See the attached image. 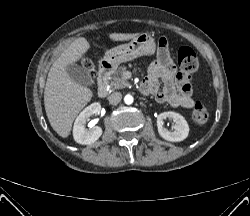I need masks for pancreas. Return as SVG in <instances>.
I'll list each match as a JSON object with an SVG mask.
<instances>
[{
	"instance_id": "cf45deb5",
	"label": "pancreas",
	"mask_w": 250,
	"mask_h": 216,
	"mask_svg": "<svg viewBox=\"0 0 250 216\" xmlns=\"http://www.w3.org/2000/svg\"><path fill=\"white\" fill-rule=\"evenodd\" d=\"M126 71L125 66L119 67L113 75L109 78L108 83L110 88L113 89H120L125 88L129 86V83L126 81V79L123 77V73Z\"/></svg>"
}]
</instances>
